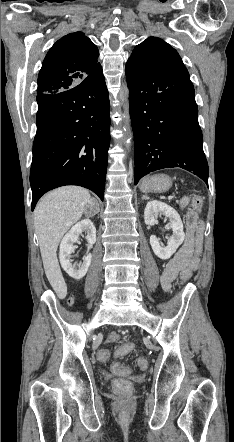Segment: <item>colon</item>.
<instances>
[{
    "instance_id": "5ec220e1",
    "label": "colon",
    "mask_w": 234,
    "mask_h": 442,
    "mask_svg": "<svg viewBox=\"0 0 234 442\" xmlns=\"http://www.w3.org/2000/svg\"><path fill=\"white\" fill-rule=\"evenodd\" d=\"M204 203V198L202 195L198 194L195 195L191 202V208H190V214L192 216H196L197 213H199L202 209ZM190 241L194 243L195 251L196 253L192 254L191 261L188 263L189 268H187L182 274H181V280L183 282H187L192 274L197 273L198 268L200 264L203 262V259L199 256L201 251V244H202V232H201V222L200 221H194L193 223V230L190 235ZM73 300H69V304H72ZM133 348V345L129 341H124L122 344L118 345V347L108 348V347H102L97 352L96 355L98 356L99 361L106 362L112 358H120L125 355H127L128 352H131ZM136 365L138 368L143 369L146 366V359L143 356H140L136 359ZM111 369L114 374L116 375H128L130 373V368L126 366L125 364L115 361L113 362ZM113 388L117 389L119 392H127L129 389L133 388V381L132 380H114L113 381Z\"/></svg>"
}]
</instances>
